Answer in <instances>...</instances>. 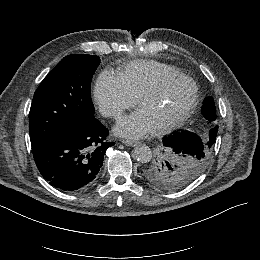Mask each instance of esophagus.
Wrapping results in <instances>:
<instances>
[{"instance_id":"obj_1","label":"esophagus","mask_w":260,"mask_h":260,"mask_svg":"<svg viewBox=\"0 0 260 260\" xmlns=\"http://www.w3.org/2000/svg\"><path fill=\"white\" fill-rule=\"evenodd\" d=\"M126 146H131V147H135L136 145L139 144V142L134 141V140H123L122 141Z\"/></svg>"}]
</instances>
